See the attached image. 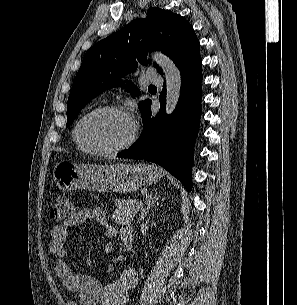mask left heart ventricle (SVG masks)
<instances>
[{"label": "left heart ventricle", "mask_w": 297, "mask_h": 305, "mask_svg": "<svg viewBox=\"0 0 297 305\" xmlns=\"http://www.w3.org/2000/svg\"><path fill=\"white\" fill-rule=\"evenodd\" d=\"M131 132V123L123 115L99 113L89 117L81 127L83 141L94 147H113L123 143Z\"/></svg>", "instance_id": "left-heart-ventricle-1"}]
</instances>
